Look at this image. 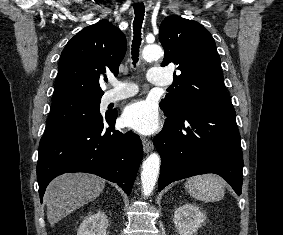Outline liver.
Segmentation results:
<instances>
[{
  "label": "liver",
  "instance_id": "obj_1",
  "mask_svg": "<svg viewBox=\"0 0 283 235\" xmlns=\"http://www.w3.org/2000/svg\"><path fill=\"white\" fill-rule=\"evenodd\" d=\"M104 187L105 180L92 174H63L55 178L45 194L49 224L54 226L62 218L96 199Z\"/></svg>",
  "mask_w": 283,
  "mask_h": 235
}]
</instances>
